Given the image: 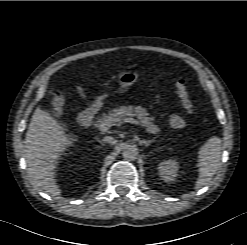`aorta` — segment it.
<instances>
[{
	"mask_svg": "<svg viewBox=\"0 0 247 245\" xmlns=\"http://www.w3.org/2000/svg\"><path fill=\"white\" fill-rule=\"evenodd\" d=\"M138 153V149L135 145L127 144L123 148L122 156L124 159L132 161L137 158Z\"/></svg>",
	"mask_w": 247,
	"mask_h": 245,
	"instance_id": "obj_1",
	"label": "aorta"
}]
</instances>
